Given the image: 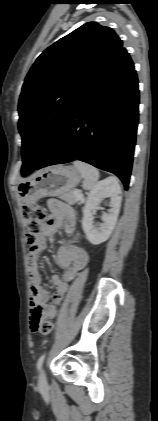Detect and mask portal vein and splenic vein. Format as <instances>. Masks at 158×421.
<instances>
[{"label": "portal vein and splenic vein", "instance_id": "obj_1", "mask_svg": "<svg viewBox=\"0 0 158 421\" xmlns=\"http://www.w3.org/2000/svg\"><path fill=\"white\" fill-rule=\"evenodd\" d=\"M74 195L77 197V198H83V195L80 193V192H78V191H75L74 192Z\"/></svg>", "mask_w": 158, "mask_h": 421}]
</instances>
